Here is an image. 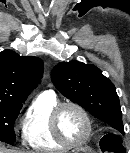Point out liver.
Returning <instances> with one entry per match:
<instances>
[{"label":"liver","instance_id":"1","mask_svg":"<svg viewBox=\"0 0 130 153\" xmlns=\"http://www.w3.org/2000/svg\"><path fill=\"white\" fill-rule=\"evenodd\" d=\"M0 153H23L21 151H16V150H10V149H6L4 147H2L0 145ZM29 153H32V152H29Z\"/></svg>","mask_w":130,"mask_h":153}]
</instances>
